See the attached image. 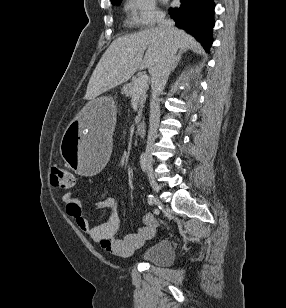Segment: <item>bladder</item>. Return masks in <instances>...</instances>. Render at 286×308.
<instances>
[{
    "label": "bladder",
    "instance_id": "31cf9c89",
    "mask_svg": "<svg viewBox=\"0 0 286 308\" xmlns=\"http://www.w3.org/2000/svg\"><path fill=\"white\" fill-rule=\"evenodd\" d=\"M173 244L166 240H159L148 246L141 254L143 262L160 266L169 265L174 260Z\"/></svg>",
    "mask_w": 286,
    "mask_h": 308
}]
</instances>
